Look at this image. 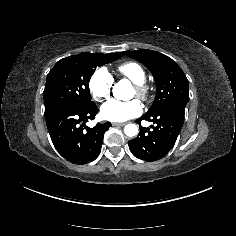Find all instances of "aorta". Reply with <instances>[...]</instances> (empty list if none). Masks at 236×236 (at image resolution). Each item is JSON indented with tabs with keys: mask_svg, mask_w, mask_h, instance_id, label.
Here are the masks:
<instances>
[{
	"mask_svg": "<svg viewBox=\"0 0 236 236\" xmlns=\"http://www.w3.org/2000/svg\"><path fill=\"white\" fill-rule=\"evenodd\" d=\"M125 134L129 137L135 136L138 133V127L136 124H127L124 128Z\"/></svg>",
	"mask_w": 236,
	"mask_h": 236,
	"instance_id": "obj_1",
	"label": "aorta"
}]
</instances>
